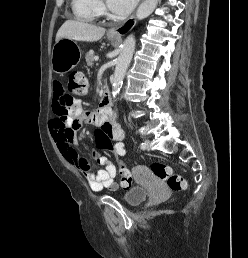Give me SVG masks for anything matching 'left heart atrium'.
<instances>
[{
    "label": "left heart atrium",
    "instance_id": "left-heart-atrium-1",
    "mask_svg": "<svg viewBox=\"0 0 248 258\" xmlns=\"http://www.w3.org/2000/svg\"><path fill=\"white\" fill-rule=\"evenodd\" d=\"M138 0H108L109 9L118 16L128 14L137 4Z\"/></svg>",
    "mask_w": 248,
    "mask_h": 258
}]
</instances>
